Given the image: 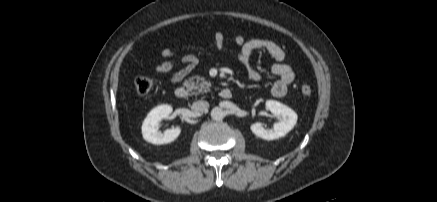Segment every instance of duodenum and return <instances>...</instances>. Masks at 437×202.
Wrapping results in <instances>:
<instances>
[{
	"instance_id": "obj_1",
	"label": "duodenum",
	"mask_w": 437,
	"mask_h": 202,
	"mask_svg": "<svg viewBox=\"0 0 437 202\" xmlns=\"http://www.w3.org/2000/svg\"><path fill=\"white\" fill-rule=\"evenodd\" d=\"M175 96L178 99H186L188 97V90L184 86H179L175 89ZM233 96L232 91L228 88H223L220 91V97L223 99H231Z\"/></svg>"
}]
</instances>
